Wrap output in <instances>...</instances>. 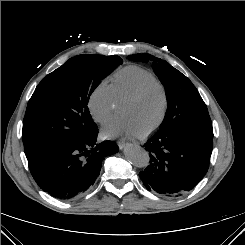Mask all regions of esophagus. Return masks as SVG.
<instances>
[{"instance_id": "esophagus-1", "label": "esophagus", "mask_w": 245, "mask_h": 245, "mask_svg": "<svg viewBox=\"0 0 245 245\" xmlns=\"http://www.w3.org/2000/svg\"><path fill=\"white\" fill-rule=\"evenodd\" d=\"M127 145V143H125L124 141H118V146L120 149H123L125 146Z\"/></svg>"}]
</instances>
